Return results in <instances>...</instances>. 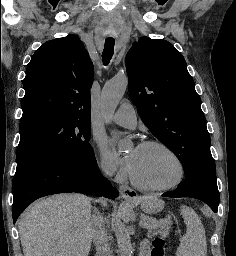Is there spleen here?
Segmentation results:
<instances>
[{
  "label": "spleen",
  "instance_id": "obj_1",
  "mask_svg": "<svg viewBox=\"0 0 236 256\" xmlns=\"http://www.w3.org/2000/svg\"><path fill=\"white\" fill-rule=\"evenodd\" d=\"M180 212L186 224V234L180 240L176 256H206L205 230L198 214L188 206H181Z\"/></svg>",
  "mask_w": 236,
  "mask_h": 256
}]
</instances>
